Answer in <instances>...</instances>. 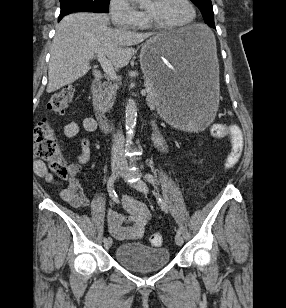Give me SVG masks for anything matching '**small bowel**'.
Instances as JSON below:
<instances>
[{"label":"small bowel","instance_id":"c3829d8e","mask_svg":"<svg viewBox=\"0 0 286 308\" xmlns=\"http://www.w3.org/2000/svg\"><path fill=\"white\" fill-rule=\"evenodd\" d=\"M230 140L242 139L239 129L230 126ZM98 129L94 118L86 117L81 122H69L63 128V134L66 138L78 136L81 132L90 134ZM157 145L161 151L166 153L168 146L163 139L157 140ZM81 152L77 156L75 162L68 165L70 175L67 179V185L60 191L61 199L73 208H81L89 203V199L82 189L78 174L81 165L87 163L91 156L90 140L87 136H83L80 141ZM36 173L45 179H52L44 163L37 161L35 163ZM125 214L108 212L107 223L110 234L119 241L138 240L141 238L147 220L150 217L148 208L141 202L135 200L131 196H125L123 199Z\"/></svg>","mask_w":286,"mask_h":308}]
</instances>
